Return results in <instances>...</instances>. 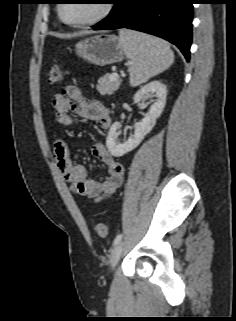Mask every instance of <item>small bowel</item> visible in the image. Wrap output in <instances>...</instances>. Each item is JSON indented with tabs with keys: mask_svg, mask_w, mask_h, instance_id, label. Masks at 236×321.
I'll return each mask as SVG.
<instances>
[{
	"mask_svg": "<svg viewBox=\"0 0 236 321\" xmlns=\"http://www.w3.org/2000/svg\"><path fill=\"white\" fill-rule=\"evenodd\" d=\"M52 107L55 119L61 125H75V114L96 122L103 130L110 127L107 107L101 101L84 98L76 86L70 85L63 94L55 95L52 98ZM53 148L58 167L76 195L100 202L110 197L121 185L124 166L109 153L103 143L97 142L92 146L93 155L108 168L107 175L102 180L89 179L85 166L73 163L70 150L62 139L56 138Z\"/></svg>",
	"mask_w": 236,
	"mask_h": 321,
	"instance_id": "c3829d8e",
	"label": "small bowel"
}]
</instances>
